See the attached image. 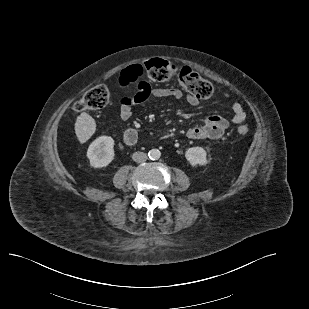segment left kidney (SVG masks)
<instances>
[{"instance_id":"left-kidney-1","label":"left kidney","mask_w":309,"mask_h":309,"mask_svg":"<svg viewBox=\"0 0 309 309\" xmlns=\"http://www.w3.org/2000/svg\"><path fill=\"white\" fill-rule=\"evenodd\" d=\"M187 161L192 166H204L207 164V153L202 147H191L185 152Z\"/></svg>"}]
</instances>
